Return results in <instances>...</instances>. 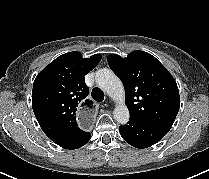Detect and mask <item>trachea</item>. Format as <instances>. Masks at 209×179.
Here are the masks:
<instances>
[{
	"instance_id": "3493384b",
	"label": "trachea",
	"mask_w": 209,
	"mask_h": 179,
	"mask_svg": "<svg viewBox=\"0 0 209 179\" xmlns=\"http://www.w3.org/2000/svg\"><path fill=\"white\" fill-rule=\"evenodd\" d=\"M94 100L101 102L104 100V93L99 88H94L91 93Z\"/></svg>"
}]
</instances>
